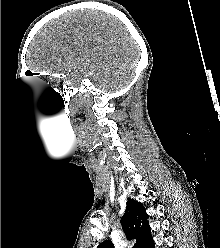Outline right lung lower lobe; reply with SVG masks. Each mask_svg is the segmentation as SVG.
I'll list each match as a JSON object with an SVG mask.
<instances>
[{"instance_id": "obj_1", "label": "right lung lower lobe", "mask_w": 220, "mask_h": 248, "mask_svg": "<svg viewBox=\"0 0 220 248\" xmlns=\"http://www.w3.org/2000/svg\"><path fill=\"white\" fill-rule=\"evenodd\" d=\"M155 247V244L154 242L149 246V248H154Z\"/></svg>"}]
</instances>
